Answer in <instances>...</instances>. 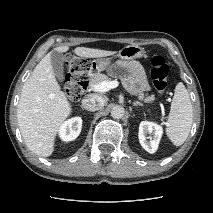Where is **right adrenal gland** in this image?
<instances>
[{
    "instance_id": "1",
    "label": "right adrenal gland",
    "mask_w": 213,
    "mask_h": 213,
    "mask_svg": "<svg viewBox=\"0 0 213 213\" xmlns=\"http://www.w3.org/2000/svg\"><path fill=\"white\" fill-rule=\"evenodd\" d=\"M82 108V110H84L83 106H80Z\"/></svg>"
}]
</instances>
